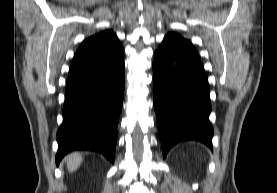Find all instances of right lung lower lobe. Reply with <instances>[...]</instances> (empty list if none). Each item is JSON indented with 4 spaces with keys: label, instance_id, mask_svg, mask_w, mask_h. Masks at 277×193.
Returning <instances> with one entry per match:
<instances>
[{
    "label": "right lung lower lobe",
    "instance_id": "obj_1",
    "mask_svg": "<svg viewBox=\"0 0 277 193\" xmlns=\"http://www.w3.org/2000/svg\"><path fill=\"white\" fill-rule=\"evenodd\" d=\"M123 54L122 48L96 65L69 71L56 137L57 165L73 150L98 151L114 162L125 84Z\"/></svg>",
    "mask_w": 277,
    "mask_h": 193
}]
</instances>
